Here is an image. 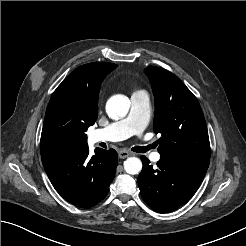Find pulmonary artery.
I'll return each mask as SVG.
<instances>
[{
	"label": "pulmonary artery",
	"mask_w": 246,
	"mask_h": 246,
	"mask_svg": "<svg viewBox=\"0 0 246 246\" xmlns=\"http://www.w3.org/2000/svg\"><path fill=\"white\" fill-rule=\"evenodd\" d=\"M151 117L150 99L146 92L138 91L131 96V108L127 117L111 123L103 129H97L90 134L92 142L122 141L133 135L141 134L147 127ZM151 159L160 160V154L153 152Z\"/></svg>",
	"instance_id": "pulmonary-artery-1"
}]
</instances>
